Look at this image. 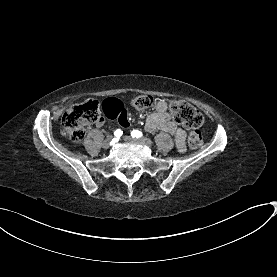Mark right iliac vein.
Segmentation results:
<instances>
[{
	"mask_svg": "<svg viewBox=\"0 0 277 277\" xmlns=\"http://www.w3.org/2000/svg\"><path fill=\"white\" fill-rule=\"evenodd\" d=\"M110 145H111L110 139L105 140L102 144L103 148L105 149L109 148Z\"/></svg>",
	"mask_w": 277,
	"mask_h": 277,
	"instance_id": "63e3f726",
	"label": "right iliac vein"
}]
</instances>
